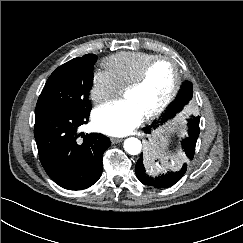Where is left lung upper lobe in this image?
<instances>
[{
    "label": "left lung upper lobe",
    "instance_id": "left-lung-upper-lobe-1",
    "mask_svg": "<svg viewBox=\"0 0 243 243\" xmlns=\"http://www.w3.org/2000/svg\"><path fill=\"white\" fill-rule=\"evenodd\" d=\"M192 93H193L192 84H191V82L186 81L184 83L182 89L180 90L179 96H178V98L176 99L175 102H177V101H189L192 98ZM174 104L164 114L163 120L168 119L172 115Z\"/></svg>",
    "mask_w": 243,
    "mask_h": 243
}]
</instances>
